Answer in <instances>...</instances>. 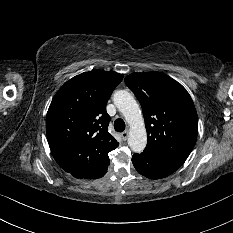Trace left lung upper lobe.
<instances>
[{"label": "left lung upper lobe", "instance_id": "1", "mask_svg": "<svg viewBox=\"0 0 233 233\" xmlns=\"http://www.w3.org/2000/svg\"><path fill=\"white\" fill-rule=\"evenodd\" d=\"M126 85L139 100L148 142L144 152L184 163L198 134V117L186 89L160 72L132 73Z\"/></svg>", "mask_w": 233, "mask_h": 233}]
</instances>
